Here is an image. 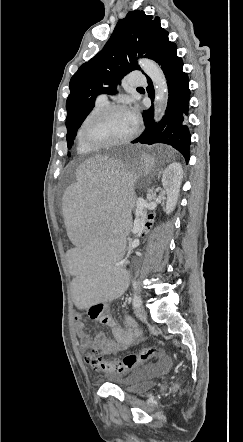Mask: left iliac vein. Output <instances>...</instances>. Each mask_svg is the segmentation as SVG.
<instances>
[{
	"label": "left iliac vein",
	"mask_w": 243,
	"mask_h": 442,
	"mask_svg": "<svg viewBox=\"0 0 243 442\" xmlns=\"http://www.w3.org/2000/svg\"><path fill=\"white\" fill-rule=\"evenodd\" d=\"M135 314L141 320H145L147 318L146 310L142 305L136 307Z\"/></svg>",
	"instance_id": "1"
}]
</instances>
